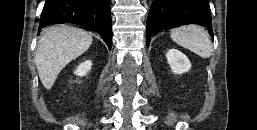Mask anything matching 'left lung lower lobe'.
<instances>
[{
  "instance_id": "left-lung-lower-lobe-1",
  "label": "left lung lower lobe",
  "mask_w": 257,
  "mask_h": 130,
  "mask_svg": "<svg viewBox=\"0 0 257 130\" xmlns=\"http://www.w3.org/2000/svg\"><path fill=\"white\" fill-rule=\"evenodd\" d=\"M186 24L206 26L213 38L208 0H153L147 19V46L154 33Z\"/></svg>"
}]
</instances>
